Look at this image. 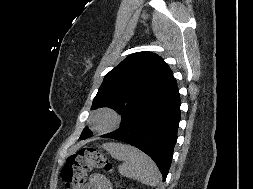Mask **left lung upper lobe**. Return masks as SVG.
Returning <instances> with one entry per match:
<instances>
[{"instance_id": "left-lung-upper-lobe-1", "label": "left lung upper lobe", "mask_w": 253, "mask_h": 189, "mask_svg": "<svg viewBox=\"0 0 253 189\" xmlns=\"http://www.w3.org/2000/svg\"><path fill=\"white\" fill-rule=\"evenodd\" d=\"M175 84L172 71L160 56L150 52L134 53L106 74L91 109H114L123 116L122 125ZM86 133L91 132L84 128L82 134Z\"/></svg>"}]
</instances>
